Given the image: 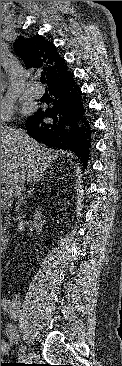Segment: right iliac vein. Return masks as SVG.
Returning a JSON list of instances; mask_svg holds the SVG:
<instances>
[{"mask_svg":"<svg viewBox=\"0 0 122 366\" xmlns=\"http://www.w3.org/2000/svg\"><path fill=\"white\" fill-rule=\"evenodd\" d=\"M13 315H15L16 313H18V310L17 308H15L13 311H12Z\"/></svg>","mask_w":122,"mask_h":366,"instance_id":"right-iliac-vein-1","label":"right iliac vein"}]
</instances>
